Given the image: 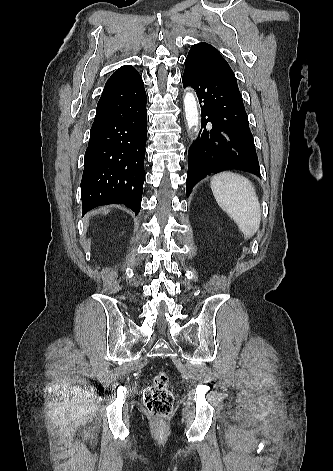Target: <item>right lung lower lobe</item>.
Wrapping results in <instances>:
<instances>
[{"instance_id": "right-lung-lower-lobe-1", "label": "right lung lower lobe", "mask_w": 333, "mask_h": 471, "mask_svg": "<svg viewBox=\"0 0 333 471\" xmlns=\"http://www.w3.org/2000/svg\"><path fill=\"white\" fill-rule=\"evenodd\" d=\"M146 92L138 72L105 87L85 152L81 182L83 215L100 205L141 208L147 137Z\"/></svg>"}]
</instances>
